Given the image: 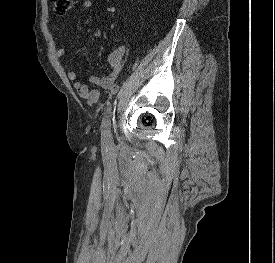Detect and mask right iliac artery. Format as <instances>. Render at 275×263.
<instances>
[{
    "instance_id": "1",
    "label": "right iliac artery",
    "mask_w": 275,
    "mask_h": 263,
    "mask_svg": "<svg viewBox=\"0 0 275 263\" xmlns=\"http://www.w3.org/2000/svg\"><path fill=\"white\" fill-rule=\"evenodd\" d=\"M136 66H137V63L134 64L133 69H135ZM110 124H111V107L109 106L105 112V116L102 121V137L106 142L111 141Z\"/></svg>"
}]
</instances>
